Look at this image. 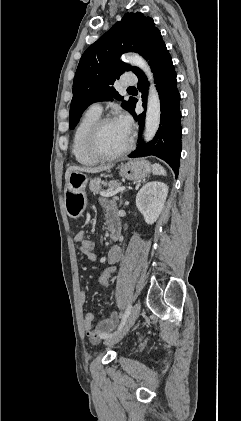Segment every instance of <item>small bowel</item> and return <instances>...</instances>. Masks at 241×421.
I'll use <instances>...</instances> for the list:
<instances>
[{
    "mask_svg": "<svg viewBox=\"0 0 241 421\" xmlns=\"http://www.w3.org/2000/svg\"><path fill=\"white\" fill-rule=\"evenodd\" d=\"M105 215L108 218L109 216L116 215V208L114 204L108 203L105 205ZM86 239L85 232L79 231L75 237L74 241L78 244H81ZM89 260L96 261V255L93 252H83ZM122 257V248L120 246H113L106 257V260L109 264L115 265L117 264ZM85 292H79V299L82 303L85 302ZM95 319V315L93 312H87L84 316V329L86 331L87 337L92 342H98L101 338L107 334L109 331L113 330L119 320V315L117 313H113L109 319L102 320L98 323L96 327L93 326Z\"/></svg>",
    "mask_w": 241,
    "mask_h": 421,
    "instance_id": "1",
    "label": "small bowel"
}]
</instances>
